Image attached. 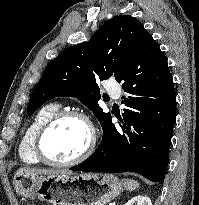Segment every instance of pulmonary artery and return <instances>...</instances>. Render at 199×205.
<instances>
[{
	"instance_id": "1",
	"label": "pulmonary artery",
	"mask_w": 199,
	"mask_h": 205,
	"mask_svg": "<svg viewBox=\"0 0 199 205\" xmlns=\"http://www.w3.org/2000/svg\"><path fill=\"white\" fill-rule=\"evenodd\" d=\"M108 92L113 98H118L121 93V90L118 87L115 88L109 87Z\"/></svg>"
}]
</instances>
